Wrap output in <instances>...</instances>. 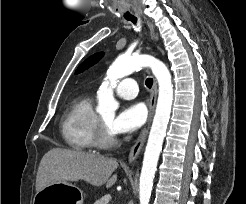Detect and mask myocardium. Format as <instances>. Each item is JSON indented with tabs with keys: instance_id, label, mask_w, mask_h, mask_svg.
<instances>
[{
	"instance_id": "myocardium-1",
	"label": "myocardium",
	"mask_w": 246,
	"mask_h": 204,
	"mask_svg": "<svg viewBox=\"0 0 246 204\" xmlns=\"http://www.w3.org/2000/svg\"><path fill=\"white\" fill-rule=\"evenodd\" d=\"M95 144L100 148H111L117 145V139L112 130L105 124L103 119L98 116L95 131Z\"/></svg>"
}]
</instances>
